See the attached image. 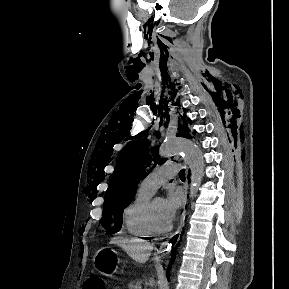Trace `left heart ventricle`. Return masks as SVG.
<instances>
[{
  "label": "left heart ventricle",
  "instance_id": "1",
  "mask_svg": "<svg viewBox=\"0 0 289 289\" xmlns=\"http://www.w3.org/2000/svg\"><path fill=\"white\" fill-rule=\"evenodd\" d=\"M164 200L162 198H154L153 202V213L155 219L160 225H167L169 221L166 220L164 216Z\"/></svg>",
  "mask_w": 289,
  "mask_h": 289
}]
</instances>
